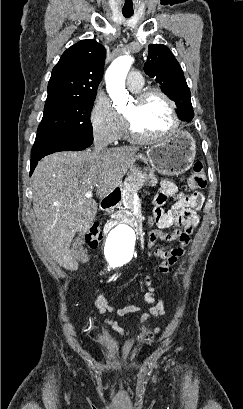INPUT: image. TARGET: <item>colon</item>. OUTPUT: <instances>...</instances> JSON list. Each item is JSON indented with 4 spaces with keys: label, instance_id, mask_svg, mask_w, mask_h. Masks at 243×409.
<instances>
[{
    "label": "colon",
    "instance_id": "5ec220e1",
    "mask_svg": "<svg viewBox=\"0 0 243 409\" xmlns=\"http://www.w3.org/2000/svg\"><path fill=\"white\" fill-rule=\"evenodd\" d=\"M187 185L190 189H202L206 186V174L200 161L194 163L192 173L188 178ZM102 238V231L97 224H92L86 235L85 241L88 246L94 248Z\"/></svg>",
    "mask_w": 243,
    "mask_h": 409
}]
</instances>
